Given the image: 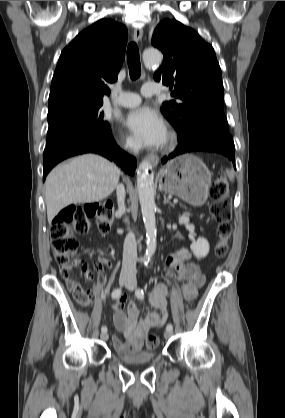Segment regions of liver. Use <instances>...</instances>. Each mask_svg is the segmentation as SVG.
Segmentation results:
<instances>
[{"label": "liver", "mask_w": 285, "mask_h": 418, "mask_svg": "<svg viewBox=\"0 0 285 418\" xmlns=\"http://www.w3.org/2000/svg\"><path fill=\"white\" fill-rule=\"evenodd\" d=\"M119 168L95 154H84L55 167L45 181L48 222L71 204L107 198L120 178Z\"/></svg>", "instance_id": "1"}]
</instances>
